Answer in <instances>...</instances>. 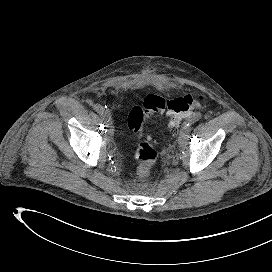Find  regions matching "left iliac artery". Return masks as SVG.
Returning a JSON list of instances; mask_svg holds the SVG:
<instances>
[{
  "mask_svg": "<svg viewBox=\"0 0 272 272\" xmlns=\"http://www.w3.org/2000/svg\"><path fill=\"white\" fill-rule=\"evenodd\" d=\"M200 118H201V116L198 115V114L193 115V117H191L187 122H185L184 126L182 127V130H183L184 127H189V126H191V125L194 124L196 121H198Z\"/></svg>",
  "mask_w": 272,
  "mask_h": 272,
  "instance_id": "obj_1",
  "label": "left iliac artery"
}]
</instances>
